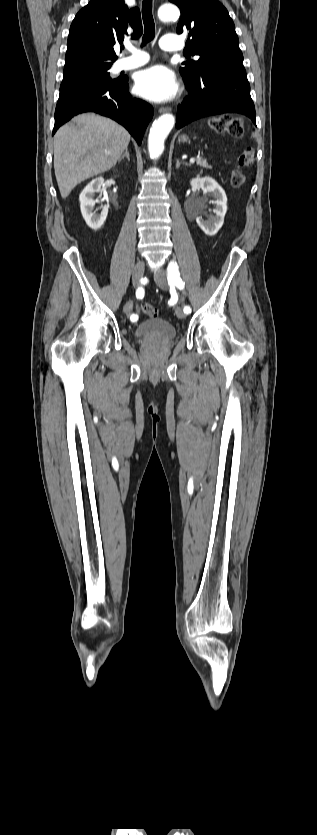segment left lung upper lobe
Here are the masks:
<instances>
[{"label": "left lung upper lobe", "instance_id": "5c2ea615", "mask_svg": "<svg viewBox=\"0 0 317 835\" xmlns=\"http://www.w3.org/2000/svg\"><path fill=\"white\" fill-rule=\"evenodd\" d=\"M181 10L177 33L188 32L192 39L187 48L197 61L183 62L180 73L183 78L194 79L214 62L240 63L243 54L239 48L235 25L226 8L217 0H169Z\"/></svg>", "mask_w": 317, "mask_h": 835}]
</instances>
